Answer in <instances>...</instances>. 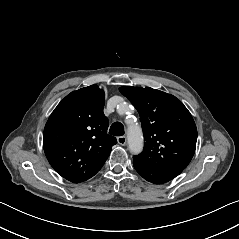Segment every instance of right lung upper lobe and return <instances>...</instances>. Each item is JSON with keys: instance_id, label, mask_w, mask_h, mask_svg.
<instances>
[{"instance_id": "cb5924a9", "label": "right lung upper lobe", "mask_w": 239, "mask_h": 239, "mask_svg": "<svg viewBox=\"0 0 239 239\" xmlns=\"http://www.w3.org/2000/svg\"><path fill=\"white\" fill-rule=\"evenodd\" d=\"M105 95L97 85L71 92L50 115L43 148L51 166L72 182L86 181L104 165L117 143L107 134Z\"/></svg>"}]
</instances>
